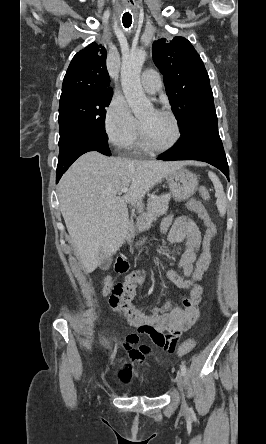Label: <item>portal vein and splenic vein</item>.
Returning a JSON list of instances; mask_svg holds the SVG:
<instances>
[{
  "mask_svg": "<svg viewBox=\"0 0 266 444\" xmlns=\"http://www.w3.org/2000/svg\"><path fill=\"white\" fill-rule=\"evenodd\" d=\"M129 191L128 187H124L120 190V194L127 193Z\"/></svg>",
  "mask_w": 266,
  "mask_h": 444,
  "instance_id": "obj_1",
  "label": "portal vein and splenic vein"
}]
</instances>
